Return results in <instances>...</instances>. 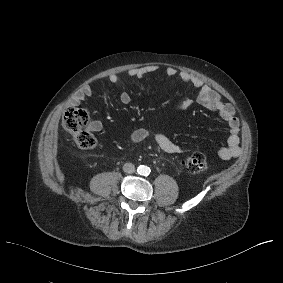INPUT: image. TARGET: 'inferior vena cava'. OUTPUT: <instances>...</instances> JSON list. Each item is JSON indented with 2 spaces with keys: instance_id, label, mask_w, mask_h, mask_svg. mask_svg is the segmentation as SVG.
I'll return each mask as SVG.
<instances>
[{
  "instance_id": "obj_1",
  "label": "inferior vena cava",
  "mask_w": 283,
  "mask_h": 283,
  "mask_svg": "<svg viewBox=\"0 0 283 283\" xmlns=\"http://www.w3.org/2000/svg\"><path fill=\"white\" fill-rule=\"evenodd\" d=\"M123 171L126 173H134L135 172V166L132 163H125L123 165Z\"/></svg>"
}]
</instances>
